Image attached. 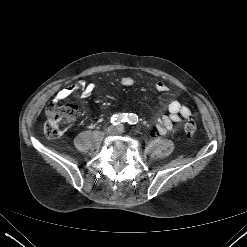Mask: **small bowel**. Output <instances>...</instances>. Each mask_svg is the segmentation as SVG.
Here are the masks:
<instances>
[{
	"mask_svg": "<svg viewBox=\"0 0 247 247\" xmlns=\"http://www.w3.org/2000/svg\"><path fill=\"white\" fill-rule=\"evenodd\" d=\"M134 82V79L130 76H124L120 79L121 85L125 87L132 86ZM153 86L158 92H167L169 90L168 85L163 81H158ZM94 89L95 85L93 83L80 81L77 84L68 85L62 88L57 93L55 101L65 100L78 90L81 91V96L83 98H88L92 95ZM168 111L169 114L159 118L157 122V129L162 134L171 130L174 123H178L183 119H189L192 116L190 108L181 104L177 100H173L169 103Z\"/></svg>",
	"mask_w": 247,
	"mask_h": 247,
	"instance_id": "obj_1",
	"label": "small bowel"
}]
</instances>
